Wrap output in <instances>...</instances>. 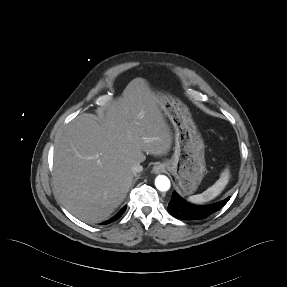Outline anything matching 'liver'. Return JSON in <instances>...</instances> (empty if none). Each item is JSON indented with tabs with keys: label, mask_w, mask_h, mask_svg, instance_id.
Segmentation results:
<instances>
[{
	"label": "liver",
	"mask_w": 287,
	"mask_h": 287,
	"mask_svg": "<svg viewBox=\"0 0 287 287\" xmlns=\"http://www.w3.org/2000/svg\"><path fill=\"white\" fill-rule=\"evenodd\" d=\"M102 122L81 114L55 143L53 184L61 202L88 223L106 220L132 184V165L166 155L172 133L145 79L135 78Z\"/></svg>",
	"instance_id": "1"
}]
</instances>
